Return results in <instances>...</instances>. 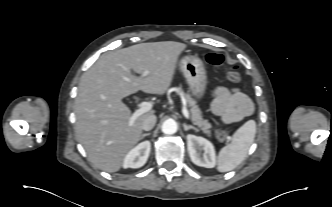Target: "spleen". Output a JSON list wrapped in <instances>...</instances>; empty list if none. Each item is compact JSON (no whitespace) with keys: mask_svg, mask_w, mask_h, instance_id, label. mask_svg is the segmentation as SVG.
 <instances>
[{"mask_svg":"<svg viewBox=\"0 0 332 207\" xmlns=\"http://www.w3.org/2000/svg\"><path fill=\"white\" fill-rule=\"evenodd\" d=\"M256 134V123L249 120L234 134L232 142L223 147L218 155L217 170L228 172L235 169L246 157Z\"/></svg>","mask_w":332,"mask_h":207,"instance_id":"spleen-1","label":"spleen"}]
</instances>
